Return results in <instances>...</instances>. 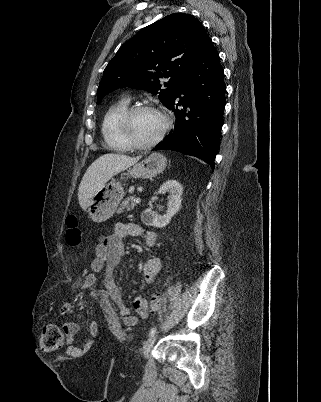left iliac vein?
Returning <instances> with one entry per match:
<instances>
[{"label": "left iliac vein", "mask_w": 321, "mask_h": 402, "mask_svg": "<svg viewBox=\"0 0 321 402\" xmlns=\"http://www.w3.org/2000/svg\"><path fill=\"white\" fill-rule=\"evenodd\" d=\"M156 341V336H151L144 344L143 346V355L144 357H148L151 349L153 348V345Z\"/></svg>", "instance_id": "4c4485c4"}]
</instances>
